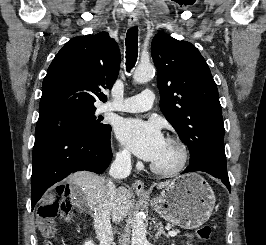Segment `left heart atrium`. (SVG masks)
<instances>
[{"instance_id": "1", "label": "left heart atrium", "mask_w": 266, "mask_h": 245, "mask_svg": "<svg viewBox=\"0 0 266 245\" xmlns=\"http://www.w3.org/2000/svg\"><path fill=\"white\" fill-rule=\"evenodd\" d=\"M118 140L137 157L153 163L166 139L155 121L120 119L115 125Z\"/></svg>"}]
</instances>
